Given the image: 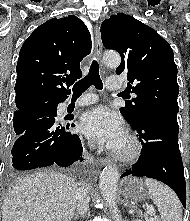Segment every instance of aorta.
<instances>
[{"label": "aorta", "mask_w": 190, "mask_h": 221, "mask_svg": "<svg viewBox=\"0 0 190 221\" xmlns=\"http://www.w3.org/2000/svg\"><path fill=\"white\" fill-rule=\"evenodd\" d=\"M103 61L108 66H118L121 59L117 53H106ZM118 180L119 172L117 167L114 165L106 166L100 175V190L115 220L122 221L116 202Z\"/></svg>", "instance_id": "aorta-1"}]
</instances>
